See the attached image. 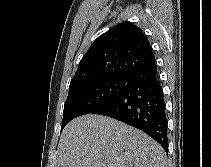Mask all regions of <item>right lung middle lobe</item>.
<instances>
[{"mask_svg": "<svg viewBox=\"0 0 211 167\" xmlns=\"http://www.w3.org/2000/svg\"><path fill=\"white\" fill-rule=\"evenodd\" d=\"M129 86L124 76H109L94 79L69 88L64 105L61 130L72 119L94 113L119 96Z\"/></svg>", "mask_w": 211, "mask_h": 167, "instance_id": "right-lung-middle-lobe-1", "label": "right lung middle lobe"}]
</instances>
